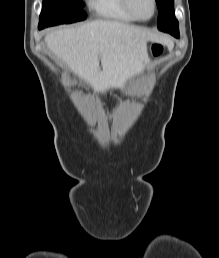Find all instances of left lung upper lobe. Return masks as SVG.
I'll return each instance as SVG.
<instances>
[{"mask_svg": "<svg viewBox=\"0 0 219 258\" xmlns=\"http://www.w3.org/2000/svg\"><path fill=\"white\" fill-rule=\"evenodd\" d=\"M158 6V29L164 32L179 30L174 15V0H156Z\"/></svg>", "mask_w": 219, "mask_h": 258, "instance_id": "1", "label": "left lung upper lobe"}]
</instances>
